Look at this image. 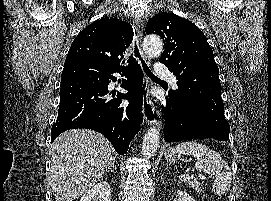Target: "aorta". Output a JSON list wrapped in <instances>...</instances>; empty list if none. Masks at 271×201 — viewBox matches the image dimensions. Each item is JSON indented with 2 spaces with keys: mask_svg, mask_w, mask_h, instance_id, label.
I'll return each mask as SVG.
<instances>
[{
  "mask_svg": "<svg viewBox=\"0 0 271 201\" xmlns=\"http://www.w3.org/2000/svg\"><path fill=\"white\" fill-rule=\"evenodd\" d=\"M144 52L149 57H157L163 51V42L160 37L156 35L146 36L143 41ZM160 133L158 129L153 126L148 129L144 135L142 142V154L144 157H152L159 146Z\"/></svg>",
  "mask_w": 271,
  "mask_h": 201,
  "instance_id": "762f6f07",
  "label": "aorta"
}]
</instances>
